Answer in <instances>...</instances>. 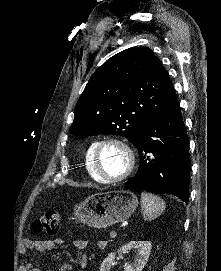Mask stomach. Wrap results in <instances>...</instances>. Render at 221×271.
<instances>
[{"label":"stomach","instance_id":"stomach-1","mask_svg":"<svg viewBox=\"0 0 221 271\" xmlns=\"http://www.w3.org/2000/svg\"><path fill=\"white\" fill-rule=\"evenodd\" d=\"M138 203V197L133 191L118 189L90 195L83 201L81 208H75V213L83 223L101 229L128 219Z\"/></svg>","mask_w":221,"mask_h":271}]
</instances>
